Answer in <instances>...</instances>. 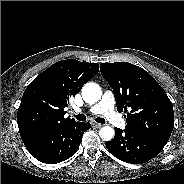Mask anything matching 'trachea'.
I'll return each mask as SVG.
<instances>
[{
  "label": "trachea",
  "mask_w": 184,
  "mask_h": 184,
  "mask_svg": "<svg viewBox=\"0 0 184 184\" xmlns=\"http://www.w3.org/2000/svg\"><path fill=\"white\" fill-rule=\"evenodd\" d=\"M75 117H76V119H77L78 121H85V120H86V116L83 115V114L75 115ZM95 121L98 122V123H102V124L105 123V119L100 118V117H97V118L95 119Z\"/></svg>",
  "instance_id": "trachea-1"
}]
</instances>
